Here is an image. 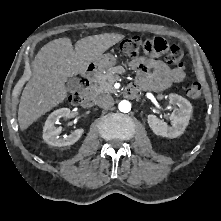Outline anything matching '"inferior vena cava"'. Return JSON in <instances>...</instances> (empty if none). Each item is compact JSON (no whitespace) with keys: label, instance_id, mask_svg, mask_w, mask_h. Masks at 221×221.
Returning a JSON list of instances; mask_svg holds the SVG:
<instances>
[{"label":"inferior vena cava","instance_id":"602c4592","mask_svg":"<svg viewBox=\"0 0 221 221\" xmlns=\"http://www.w3.org/2000/svg\"><path fill=\"white\" fill-rule=\"evenodd\" d=\"M96 104L100 108L109 109L114 105V99L111 95L108 94L100 95L96 100Z\"/></svg>","mask_w":221,"mask_h":221}]
</instances>
